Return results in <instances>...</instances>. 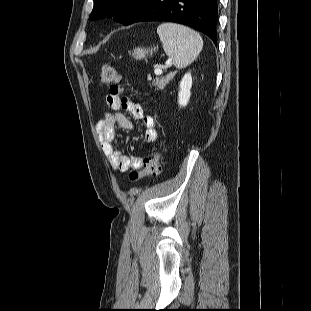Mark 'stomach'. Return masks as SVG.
<instances>
[{
	"instance_id": "0dacf381",
	"label": "stomach",
	"mask_w": 311,
	"mask_h": 311,
	"mask_svg": "<svg viewBox=\"0 0 311 311\" xmlns=\"http://www.w3.org/2000/svg\"><path fill=\"white\" fill-rule=\"evenodd\" d=\"M154 49H145V48H141V47H137L133 50V53H132V56L135 58V59H143L146 57V55L150 54L152 55Z\"/></svg>"
}]
</instances>
